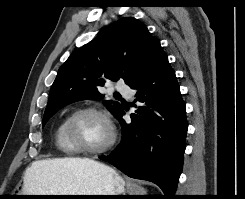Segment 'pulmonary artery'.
<instances>
[{"mask_svg": "<svg viewBox=\"0 0 245 199\" xmlns=\"http://www.w3.org/2000/svg\"><path fill=\"white\" fill-rule=\"evenodd\" d=\"M114 89L118 92H121L123 94H126L128 97H132V91L131 89L124 83H117L114 87Z\"/></svg>", "mask_w": 245, "mask_h": 199, "instance_id": "pulmonary-artery-1", "label": "pulmonary artery"}]
</instances>
